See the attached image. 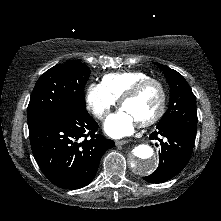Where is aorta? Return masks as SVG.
I'll use <instances>...</instances> for the list:
<instances>
[{
	"instance_id": "aorta-1",
	"label": "aorta",
	"mask_w": 221,
	"mask_h": 221,
	"mask_svg": "<svg viewBox=\"0 0 221 221\" xmlns=\"http://www.w3.org/2000/svg\"><path fill=\"white\" fill-rule=\"evenodd\" d=\"M132 152L134 158L131 161V168L135 173L145 175L155 171L158 161L151 146L139 144Z\"/></svg>"
}]
</instances>
